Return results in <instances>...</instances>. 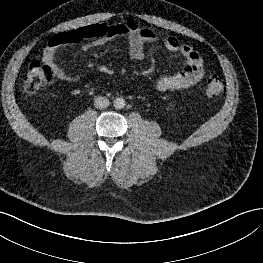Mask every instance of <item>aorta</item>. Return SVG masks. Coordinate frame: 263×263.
Segmentation results:
<instances>
[{
  "label": "aorta",
  "mask_w": 263,
  "mask_h": 263,
  "mask_svg": "<svg viewBox=\"0 0 263 263\" xmlns=\"http://www.w3.org/2000/svg\"><path fill=\"white\" fill-rule=\"evenodd\" d=\"M113 103L116 109H122L125 107V100L123 98H116Z\"/></svg>",
  "instance_id": "762f6f07"
}]
</instances>
